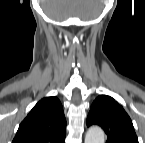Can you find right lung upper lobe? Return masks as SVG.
Returning <instances> with one entry per match:
<instances>
[{
  "label": "right lung upper lobe",
  "instance_id": "1",
  "mask_svg": "<svg viewBox=\"0 0 145 143\" xmlns=\"http://www.w3.org/2000/svg\"><path fill=\"white\" fill-rule=\"evenodd\" d=\"M66 119L56 97L40 100L21 122L13 143H64Z\"/></svg>",
  "mask_w": 145,
  "mask_h": 143
}]
</instances>
